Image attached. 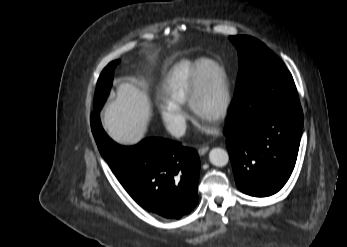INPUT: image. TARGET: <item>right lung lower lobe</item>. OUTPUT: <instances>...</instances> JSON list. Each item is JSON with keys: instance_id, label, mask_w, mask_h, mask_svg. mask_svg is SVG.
I'll list each match as a JSON object with an SVG mask.
<instances>
[{"instance_id": "right-lung-lower-lobe-1", "label": "right lung lower lobe", "mask_w": 347, "mask_h": 247, "mask_svg": "<svg viewBox=\"0 0 347 247\" xmlns=\"http://www.w3.org/2000/svg\"><path fill=\"white\" fill-rule=\"evenodd\" d=\"M95 105L91 129L98 149L128 194L144 209L179 219L198 203L199 156L192 148L164 138L118 145L101 126Z\"/></svg>"}]
</instances>
